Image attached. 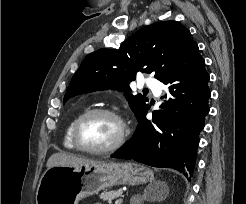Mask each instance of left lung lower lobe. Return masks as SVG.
I'll return each mask as SVG.
<instances>
[{
	"mask_svg": "<svg viewBox=\"0 0 246 204\" xmlns=\"http://www.w3.org/2000/svg\"><path fill=\"white\" fill-rule=\"evenodd\" d=\"M208 81L205 61L195 44L162 81L168 86L162 97L167 100L153 111L151 121L145 118L148 107L142 112L133 137L111 157L173 168L191 176L199 133L209 112Z\"/></svg>",
	"mask_w": 246,
	"mask_h": 204,
	"instance_id": "1",
	"label": "left lung lower lobe"
}]
</instances>
